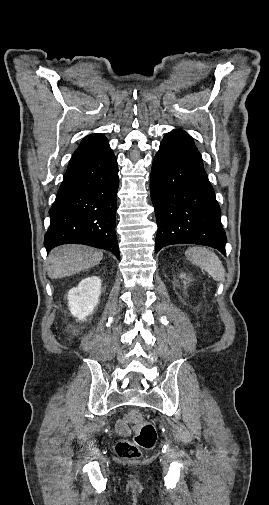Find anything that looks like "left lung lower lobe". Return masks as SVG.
<instances>
[{
    "label": "left lung lower lobe",
    "instance_id": "0a47b994",
    "mask_svg": "<svg viewBox=\"0 0 269 505\" xmlns=\"http://www.w3.org/2000/svg\"><path fill=\"white\" fill-rule=\"evenodd\" d=\"M150 193L158 225L156 252L171 244H199L226 255L220 207L201 154L186 132L164 136L152 165Z\"/></svg>",
    "mask_w": 269,
    "mask_h": 505
}]
</instances>
